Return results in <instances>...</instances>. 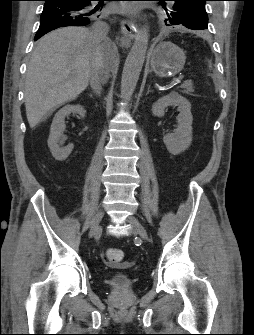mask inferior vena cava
Masks as SVG:
<instances>
[{
	"label": "inferior vena cava",
	"mask_w": 254,
	"mask_h": 335,
	"mask_svg": "<svg viewBox=\"0 0 254 335\" xmlns=\"http://www.w3.org/2000/svg\"><path fill=\"white\" fill-rule=\"evenodd\" d=\"M109 26L104 22H96L93 24L90 35L94 42L101 43L108 39L107 34ZM109 78V70L104 65L102 59L97 57L94 60L92 70L90 72V86L96 94H100L102 84L106 83Z\"/></svg>",
	"instance_id": "obj_1"
}]
</instances>
